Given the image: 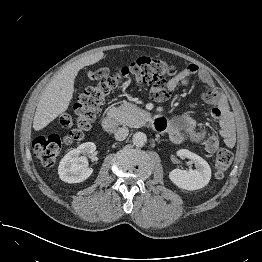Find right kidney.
I'll list each match as a JSON object with an SVG mask.
<instances>
[{
  "label": "right kidney",
  "instance_id": "obj_1",
  "mask_svg": "<svg viewBox=\"0 0 262 262\" xmlns=\"http://www.w3.org/2000/svg\"><path fill=\"white\" fill-rule=\"evenodd\" d=\"M95 150L96 145L94 143L86 142L68 152L62 158L58 167L60 179L67 183H79L89 178L93 170L88 168L86 155Z\"/></svg>",
  "mask_w": 262,
  "mask_h": 262
}]
</instances>
